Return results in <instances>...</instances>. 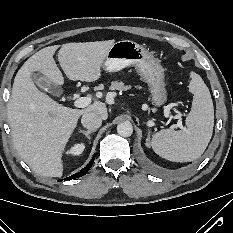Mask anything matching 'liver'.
Segmentation results:
<instances>
[{
  "mask_svg": "<svg viewBox=\"0 0 233 233\" xmlns=\"http://www.w3.org/2000/svg\"><path fill=\"white\" fill-rule=\"evenodd\" d=\"M114 40L67 43L58 52V61L70 80L94 82ZM58 45L48 46L32 55L18 70L7 105L8 123L15 149L30 168L46 177L63 174V151L86 113L108 118L106 104L100 101L84 109H72L54 101L34 84L31 74L40 72L51 83L62 85L64 78L54 61Z\"/></svg>",
  "mask_w": 233,
  "mask_h": 233,
  "instance_id": "6515ba94",
  "label": "liver"
}]
</instances>
